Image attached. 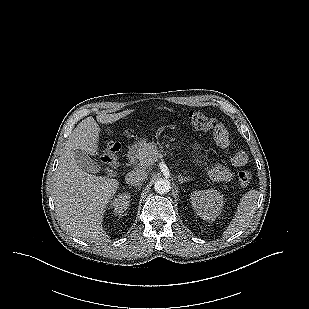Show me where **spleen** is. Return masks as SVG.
<instances>
[{
    "instance_id": "obj_1",
    "label": "spleen",
    "mask_w": 309,
    "mask_h": 309,
    "mask_svg": "<svg viewBox=\"0 0 309 309\" xmlns=\"http://www.w3.org/2000/svg\"><path fill=\"white\" fill-rule=\"evenodd\" d=\"M258 196L259 192L257 190H250L242 196L235 215L224 232V236L240 231L249 223L256 209Z\"/></svg>"
}]
</instances>
